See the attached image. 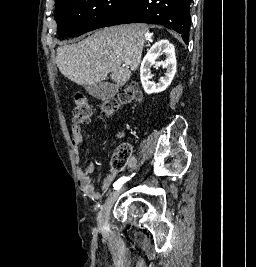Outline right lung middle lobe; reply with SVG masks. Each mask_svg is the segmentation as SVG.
I'll use <instances>...</instances> for the list:
<instances>
[{
	"instance_id": "right-lung-middle-lobe-1",
	"label": "right lung middle lobe",
	"mask_w": 256,
	"mask_h": 267,
	"mask_svg": "<svg viewBox=\"0 0 256 267\" xmlns=\"http://www.w3.org/2000/svg\"><path fill=\"white\" fill-rule=\"evenodd\" d=\"M136 0H59L55 20L59 37L79 36L101 28Z\"/></svg>"
}]
</instances>
